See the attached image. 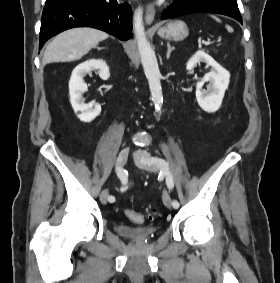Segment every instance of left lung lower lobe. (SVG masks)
Instances as JSON below:
<instances>
[{"label": "left lung lower lobe", "mask_w": 280, "mask_h": 283, "mask_svg": "<svg viewBox=\"0 0 280 283\" xmlns=\"http://www.w3.org/2000/svg\"><path fill=\"white\" fill-rule=\"evenodd\" d=\"M195 12H209L230 16L242 24L239 10L211 0H176L161 15V19H171Z\"/></svg>", "instance_id": "obj_1"}]
</instances>
